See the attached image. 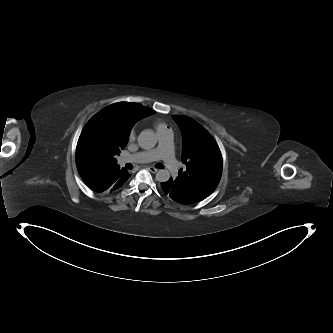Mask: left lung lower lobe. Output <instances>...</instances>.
I'll return each instance as SVG.
<instances>
[{
  "mask_svg": "<svg viewBox=\"0 0 333 333\" xmlns=\"http://www.w3.org/2000/svg\"><path fill=\"white\" fill-rule=\"evenodd\" d=\"M161 192L168 198L180 204L189 205L200 201L186 189L177 185L172 178L161 183Z\"/></svg>",
  "mask_w": 333,
  "mask_h": 333,
  "instance_id": "obj_1",
  "label": "left lung lower lobe"
}]
</instances>
